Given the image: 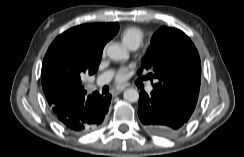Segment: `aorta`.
Wrapping results in <instances>:
<instances>
[{
  "mask_svg": "<svg viewBox=\"0 0 244 157\" xmlns=\"http://www.w3.org/2000/svg\"><path fill=\"white\" fill-rule=\"evenodd\" d=\"M107 55L115 61L126 60L128 58L127 51L117 43H112L107 47ZM123 97L128 102H137L139 93L135 88H128L124 91Z\"/></svg>",
  "mask_w": 244,
  "mask_h": 157,
  "instance_id": "1",
  "label": "aorta"
}]
</instances>
